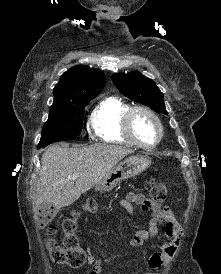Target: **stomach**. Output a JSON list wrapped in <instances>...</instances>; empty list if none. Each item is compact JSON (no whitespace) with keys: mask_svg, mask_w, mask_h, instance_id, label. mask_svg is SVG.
Listing matches in <instances>:
<instances>
[{"mask_svg":"<svg viewBox=\"0 0 221 274\" xmlns=\"http://www.w3.org/2000/svg\"><path fill=\"white\" fill-rule=\"evenodd\" d=\"M151 164L146 155L129 156L116 165L96 186L100 192H108L121 181L134 177L145 171Z\"/></svg>","mask_w":221,"mask_h":274,"instance_id":"0dacf381","label":"stomach"}]
</instances>
